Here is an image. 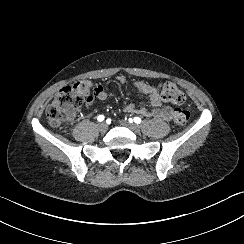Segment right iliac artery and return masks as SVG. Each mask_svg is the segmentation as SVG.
Returning <instances> with one entry per match:
<instances>
[{"label": "right iliac artery", "instance_id": "right-iliac-artery-1", "mask_svg": "<svg viewBox=\"0 0 244 244\" xmlns=\"http://www.w3.org/2000/svg\"><path fill=\"white\" fill-rule=\"evenodd\" d=\"M104 116L103 115H99L98 117H97V120L99 121V122H101V121H103L104 120Z\"/></svg>", "mask_w": 244, "mask_h": 244}]
</instances>
